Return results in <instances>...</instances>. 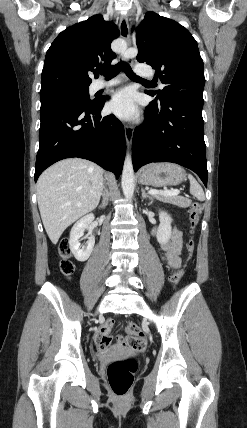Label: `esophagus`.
I'll return each mask as SVG.
<instances>
[{
	"label": "esophagus",
	"instance_id": "esophagus-1",
	"mask_svg": "<svg viewBox=\"0 0 247 428\" xmlns=\"http://www.w3.org/2000/svg\"><path fill=\"white\" fill-rule=\"evenodd\" d=\"M119 29L121 37L129 44L130 42V26L128 22V17L126 15L122 16L119 23ZM130 64H133V59L128 60ZM124 132L127 145L130 146L132 144L133 139V127L130 124L124 125Z\"/></svg>",
	"mask_w": 247,
	"mask_h": 428
}]
</instances>
